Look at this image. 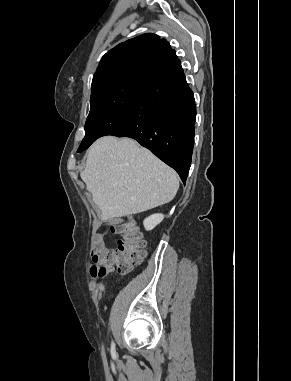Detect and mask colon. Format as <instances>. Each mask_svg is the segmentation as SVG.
Returning a JSON list of instances; mask_svg holds the SVG:
<instances>
[{"mask_svg": "<svg viewBox=\"0 0 291 381\" xmlns=\"http://www.w3.org/2000/svg\"><path fill=\"white\" fill-rule=\"evenodd\" d=\"M111 232L118 236L117 248L97 249L93 255L91 272L100 277L108 275L114 267L122 274L129 273L145 256V242L138 227L131 221H111Z\"/></svg>", "mask_w": 291, "mask_h": 381, "instance_id": "5ec220e1", "label": "colon"}]
</instances>
